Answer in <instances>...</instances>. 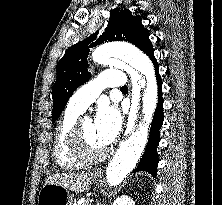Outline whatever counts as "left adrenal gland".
Masks as SVG:
<instances>
[{"mask_svg":"<svg viewBox=\"0 0 222 205\" xmlns=\"http://www.w3.org/2000/svg\"><path fill=\"white\" fill-rule=\"evenodd\" d=\"M97 205H101L100 203H98ZM102 205H104V204H102Z\"/></svg>","mask_w":222,"mask_h":205,"instance_id":"a2214340","label":"left adrenal gland"}]
</instances>
